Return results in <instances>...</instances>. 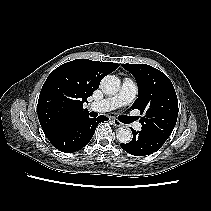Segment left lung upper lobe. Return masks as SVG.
Returning a JSON list of instances; mask_svg holds the SVG:
<instances>
[{
    "label": "left lung upper lobe",
    "mask_w": 211,
    "mask_h": 211,
    "mask_svg": "<svg viewBox=\"0 0 211 211\" xmlns=\"http://www.w3.org/2000/svg\"><path fill=\"white\" fill-rule=\"evenodd\" d=\"M138 84V98L132 110L139 109L144 118L142 130L165 143L178 116V100L170 79L147 64H122Z\"/></svg>",
    "instance_id": "left-lung-upper-lobe-1"
}]
</instances>
